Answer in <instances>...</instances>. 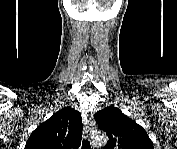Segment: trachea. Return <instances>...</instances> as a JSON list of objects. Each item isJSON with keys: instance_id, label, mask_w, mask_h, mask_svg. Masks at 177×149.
Segmentation results:
<instances>
[{"instance_id": "obj_1", "label": "trachea", "mask_w": 177, "mask_h": 149, "mask_svg": "<svg viewBox=\"0 0 177 149\" xmlns=\"http://www.w3.org/2000/svg\"><path fill=\"white\" fill-rule=\"evenodd\" d=\"M82 149H90V142L88 140H83Z\"/></svg>"}]
</instances>
